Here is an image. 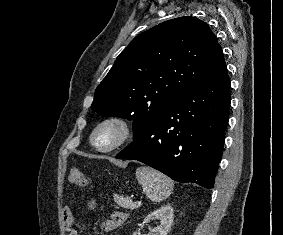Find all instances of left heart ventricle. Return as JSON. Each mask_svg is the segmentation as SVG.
<instances>
[{
	"instance_id": "obj_1",
	"label": "left heart ventricle",
	"mask_w": 283,
	"mask_h": 235,
	"mask_svg": "<svg viewBox=\"0 0 283 235\" xmlns=\"http://www.w3.org/2000/svg\"><path fill=\"white\" fill-rule=\"evenodd\" d=\"M116 137V129L113 127L105 128L98 137V142L102 145H106L114 140Z\"/></svg>"
}]
</instances>
